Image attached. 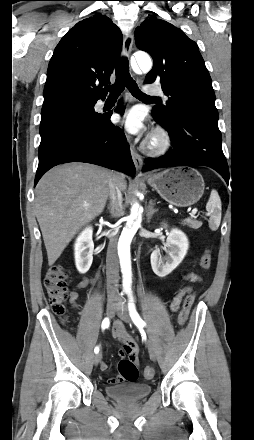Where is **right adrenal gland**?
Segmentation results:
<instances>
[{"mask_svg":"<svg viewBox=\"0 0 254 440\" xmlns=\"http://www.w3.org/2000/svg\"><path fill=\"white\" fill-rule=\"evenodd\" d=\"M107 209H108V210L110 211V210H111V209H110V206H108V208H107Z\"/></svg>","mask_w":254,"mask_h":440,"instance_id":"1","label":"right adrenal gland"}]
</instances>
